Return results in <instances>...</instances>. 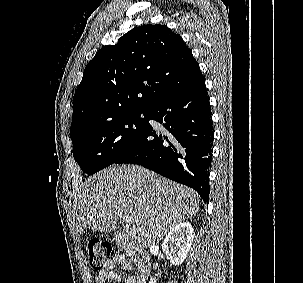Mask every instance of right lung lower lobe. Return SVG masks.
Returning a JSON list of instances; mask_svg holds the SVG:
<instances>
[{
    "mask_svg": "<svg viewBox=\"0 0 303 283\" xmlns=\"http://www.w3.org/2000/svg\"><path fill=\"white\" fill-rule=\"evenodd\" d=\"M148 126L134 146L115 164L130 163L153 170L196 190L209 202V167L214 139L205 78L159 100L148 110Z\"/></svg>",
    "mask_w": 303,
    "mask_h": 283,
    "instance_id": "98d812e1",
    "label": "right lung lower lobe"
}]
</instances>
